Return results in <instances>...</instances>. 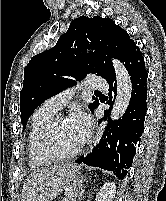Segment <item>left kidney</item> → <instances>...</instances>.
<instances>
[{
	"mask_svg": "<svg viewBox=\"0 0 166 201\" xmlns=\"http://www.w3.org/2000/svg\"><path fill=\"white\" fill-rule=\"evenodd\" d=\"M116 185L114 182L105 183L98 194L96 195L95 201H112L115 197Z\"/></svg>",
	"mask_w": 166,
	"mask_h": 201,
	"instance_id": "left-kidney-1",
	"label": "left kidney"
}]
</instances>
